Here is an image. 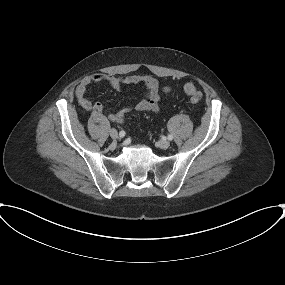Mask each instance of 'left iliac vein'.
<instances>
[{
	"label": "left iliac vein",
	"instance_id": "4c4485c4",
	"mask_svg": "<svg viewBox=\"0 0 285 285\" xmlns=\"http://www.w3.org/2000/svg\"><path fill=\"white\" fill-rule=\"evenodd\" d=\"M170 146V142L168 140H161L158 142V147L161 149H167Z\"/></svg>",
	"mask_w": 285,
	"mask_h": 285
}]
</instances>
